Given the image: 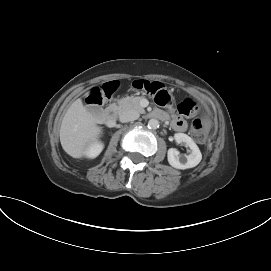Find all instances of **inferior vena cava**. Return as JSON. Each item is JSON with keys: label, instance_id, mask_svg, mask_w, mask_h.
<instances>
[{"label": "inferior vena cava", "instance_id": "1", "mask_svg": "<svg viewBox=\"0 0 271 271\" xmlns=\"http://www.w3.org/2000/svg\"><path fill=\"white\" fill-rule=\"evenodd\" d=\"M139 118V113L135 110H127L120 114L119 120L122 123L137 120Z\"/></svg>", "mask_w": 271, "mask_h": 271}]
</instances>
